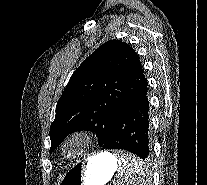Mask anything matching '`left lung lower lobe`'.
Wrapping results in <instances>:
<instances>
[{
  "label": "left lung lower lobe",
  "instance_id": "left-lung-lower-lobe-1",
  "mask_svg": "<svg viewBox=\"0 0 207 185\" xmlns=\"http://www.w3.org/2000/svg\"><path fill=\"white\" fill-rule=\"evenodd\" d=\"M148 84L118 113L102 150L120 149L142 159L150 155Z\"/></svg>",
  "mask_w": 207,
  "mask_h": 185
}]
</instances>
